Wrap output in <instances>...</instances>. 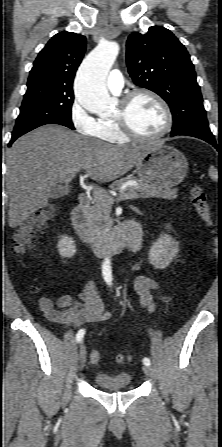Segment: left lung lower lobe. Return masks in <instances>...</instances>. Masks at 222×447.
Returning a JSON list of instances; mask_svg holds the SVG:
<instances>
[{
  "label": "left lung lower lobe",
  "instance_id": "obj_1",
  "mask_svg": "<svg viewBox=\"0 0 222 447\" xmlns=\"http://www.w3.org/2000/svg\"><path fill=\"white\" fill-rule=\"evenodd\" d=\"M176 135H187V136H193L196 138H200V139L212 144L218 151L221 152V150H222V149H220L219 145H217L214 136L208 137V136H203V135H199V134L191 133V132H181V133H176V134L172 133L171 136H176Z\"/></svg>",
  "mask_w": 222,
  "mask_h": 447
}]
</instances>
